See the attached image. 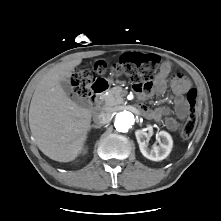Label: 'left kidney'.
Instances as JSON below:
<instances>
[{
    "label": "left kidney",
    "instance_id": "obj_1",
    "mask_svg": "<svg viewBox=\"0 0 221 221\" xmlns=\"http://www.w3.org/2000/svg\"><path fill=\"white\" fill-rule=\"evenodd\" d=\"M135 136L142 155L152 161H160L165 159L170 154L173 147L172 137L166 131H160L157 133V136L162 139V142L159 146H153L152 149H149L148 144L146 143L145 139L148 137L146 132L143 130H137L135 132Z\"/></svg>",
    "mask_w": 221,
    "mask_h": 221
}]
</instances>
